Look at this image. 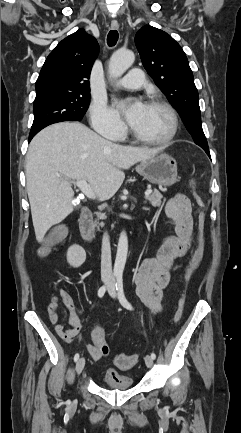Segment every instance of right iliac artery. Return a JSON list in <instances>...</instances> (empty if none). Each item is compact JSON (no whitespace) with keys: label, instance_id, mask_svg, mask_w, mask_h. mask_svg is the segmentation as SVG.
I'll return each instance as SVG.
<instances>
[{"label":"right iliac artery","instance_id":"right-iliac-artery-1","mask_svg":"<svg viewBox=\"0 0 241 433\" xmlns=\"http://www.w3.org/2000/svg\"><path fill=\"white\" fill-rule=\"evenodd\" d=\"M106 288H107L106 285H104V286H102V287L99 288V290H98V297L102 298L104 296V294L106 292ZM78 359H79V354L76 353L75 356H74V361L76 362Z\"/></svg>","mask_w":241,"mask_h":433}]
</instances>
